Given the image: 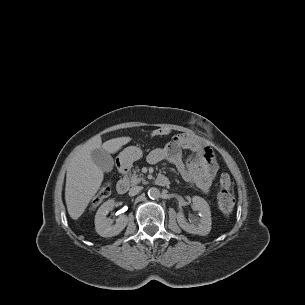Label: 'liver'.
Wrapping results in <instances>:
<instances>
[{
	"label": "liver",
	"instance_id": "6515ba94",
	"mask_svg": "<svg viewBox=\"0 0 305 305\" xmlns=\"http://www.w3.org/2000/svg\"><path fill=\"white\" fill-rule=\"evenodd\" d=\"M131 140L130 137H118L102 144L101 137L96 135L77 147L67 167L65 185L66 206L72 219L83 214L104 178L103 171L92 160V150L102 148L108 153H116Z\"/></svg>",
	"mask_w": 305,
	"mask_h": 305
}]
</instances>
